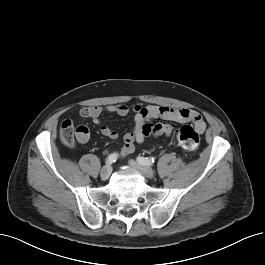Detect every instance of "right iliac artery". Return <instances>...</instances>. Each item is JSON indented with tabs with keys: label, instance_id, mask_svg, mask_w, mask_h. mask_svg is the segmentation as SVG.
<instances>
[{
	"label": "right iliac artery",
	"instance_id": "obj_1",
	"mask_svg": "<svg viewBox=\"0 0 265 265\" xmlns=\"http://www.w3.org/2000/svg\"><path fill=\"white\" fill-rule=\"evenodd\" d=\"M117 158H118V155H117L116 153H112V154H110V155L107 157V159H106V163H107V164H112V163L116 162Z\"/></svg>",
	"mask_w": 265,
	"mask_h": 265
}]
</instances>
